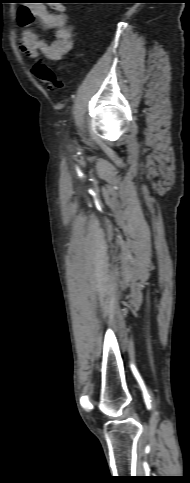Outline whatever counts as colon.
Returning a JSON list of instances; mask_svg holds the SVG:
<instances>
[{"label": "colon", "mask_w": 190, "mask_h": 483, "mask_svg": "<svg viewBox=\"0 0 190 483\" xmlns=\"http://www.w3.org/2000/svg\"><path fill=\"white\" fill-rule=\"evenodd\" d=\"M32 71L34 76L38 78L48 89L59 90L63 87V82L45 63H36L33 66Z\"/></svg>", "instance_id": "5ec220e1"}]
</instances>
